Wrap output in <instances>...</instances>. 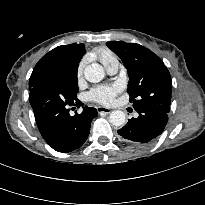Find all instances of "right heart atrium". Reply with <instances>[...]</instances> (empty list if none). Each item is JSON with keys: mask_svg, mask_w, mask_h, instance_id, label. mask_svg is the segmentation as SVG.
Masks as SVG:
<instances>
[{"mask_svg": "<svg viewBox=\"0 0 205 205\" xmlns=\"http://www.w3.org/2000/svg\"><path fill=\"white\" fill-rule=\"evenodd\" d=\"M87 63V58L86 57H83L80 62L78 63V66H77V76L78 78H80L83 74V70H84V67Z\"/></svg>", "mask_w": 205, "mask_h": 205, "instance_id": "1", "label": "right heart atrium"}]
</instances>
